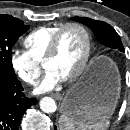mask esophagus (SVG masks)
Instances as JSON below:
<instances>
[{
  "mask_svg": "<svg viewBox=\"0 0 130 130\" xmlns=\"http://www.w3.org/2000/svg\"><path fill=\"white\" fill-rule=\"evenodd\" d=\"M51 96L57 100H60L62 98L61 94L59 93L52 94Z\"/></svg>",
  "mask_w": 130,
  "mask_h": 130,
  "instance_id": "1",
  "label": "esophagus"
}]
</instances>
